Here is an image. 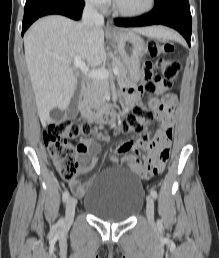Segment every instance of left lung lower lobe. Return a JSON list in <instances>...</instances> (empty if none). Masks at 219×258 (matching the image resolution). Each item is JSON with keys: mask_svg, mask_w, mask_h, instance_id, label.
Returning <instances> with one entry per match:
<instances>
[{"mask_svg": "<svg viewBox=\"0 0 219 258\" xmlns=\"http://www.w3.org/2000/svg\"><path fill=\"white\" fill-rule=\"evenodd\" d=\"M114 23L120 27L166 25L180 32L190 46L192 17L188 0H159L151 12L137 18L115 19Z\"/></svg>", "mask_w": 219, "mask_h": 258, "instance_id": "left-lung-lower-lobe-1", "label": "left lung lower lobe"}]
</instances>
